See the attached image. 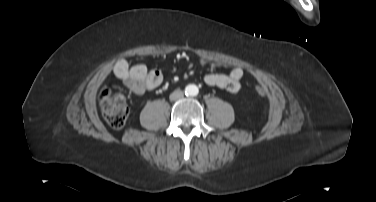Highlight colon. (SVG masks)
<instances>
[{
  "label": "colon",
  "mask_w": 376,
  "mask_h": 202,
  "mask_svg": "<svg viewBox=\"0 0 376 202\" xmlns=\"http://www.w3.org/2000/svg\"><path fill=\"white\" fill-rule=\"evenodd\" d=\"M258 95H265V89L262 86L256 88ZM100 109L107 124L114 128H122L129 115L127 99L123 94H112L105 89L100 94Z\"/></svg>",
  "instance_id": "5ec220e1"
}]
</instances>
